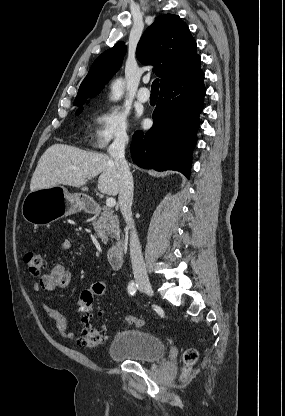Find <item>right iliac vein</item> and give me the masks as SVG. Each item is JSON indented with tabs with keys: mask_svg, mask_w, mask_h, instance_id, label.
I'll list each match as a JSON object with an SVG mask.
<instances>
[{
	"mask_svg": "<svg viewBox=\"0 0 285 416\" xmlns=\"http://www.w3.org/2000/svg\"><path fill=\"white\" fill-rule=\"evenodd\" d=\"M137 284L140 286L141 290L147 293L150 296L154 295V291L152 289L151 283L145 279H141L139 277L136 278Z\"/></svg>",
	"mask_w": 285,
	"mask_h": 416,
	"instance_id": "obj_1",
	"label": "right iliac vein"
}]
</instances>
